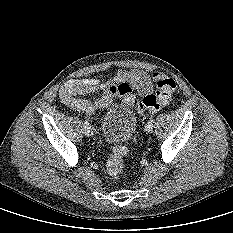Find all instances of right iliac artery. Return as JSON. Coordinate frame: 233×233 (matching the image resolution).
Listing matches in <instances>:
<instances>
[{
    "instance_id": "82829eb1",
    "label": "right iliac artery",
    "mask_w": 233,
    "mask_h": 233,
    "mask_svg": "<svg viewBox=\"0 0 233 233\" xmlns=\"http://www.w3.org/2000/svg\"><path fill=\"white\" fill-rule=\"evenodd\" d=\"M89 133H90V124H89V121L86 120L85 121V134L89 136Z\"/></svg>"
}]
</instances>
